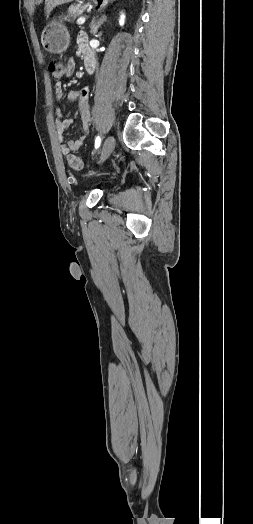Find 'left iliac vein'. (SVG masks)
Listing matches in <instances>:
<instances>
[{
	"mask_svg": "<svg viewBox=\"0 0 253 524\" xmlns=\"http://www.w3.org/2000/svg\"><path fill=\"white\" fill-rule=\"evenodd\" d=\"M115 145H116V141L113 136H108L105 139L99 163H102L110 156V154L113 152L115 148Z\"/></svg>",
	"mask_w": 253,
	"mask_h": 524,
	"instance_id": "left-iliac-vein-1",
	"label": "left iliac vein"
}]
</instances>
